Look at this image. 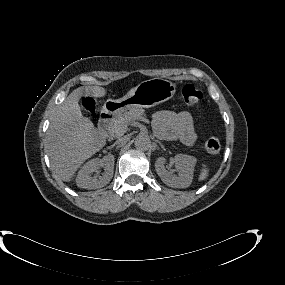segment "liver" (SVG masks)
<instances>
[{"mask_svg":"<svg viewBox=\"0 0 285 285\" xmlns=\"http://www.w3.org/2000/svg\"><path fill=\"white\" fill-rule=\"evenodd\" d=\"M105 95L106 90L100 86L79 87L57 108L51 120L45 148L53 171L65 182H69L81 164L106 144V137L82 115L79 100L81 96L99 98Z\"/></svg>","mask_w":285,"mask_h":285,"instance_id":"liver-1","label":"liver"}]
</instances>
